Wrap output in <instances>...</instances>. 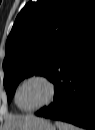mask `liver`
Segmentation results:
<instances>
[{
  "mask_svg": "<svg viewBox=\"0 0 95 130\" xmlns=\"http://www.w3.org/2000/svg\"><path fill=\"white\" fill-rule=\"evenodd\" d=\"M33 115L12 116L7 121V130H17L20 126L32 119Z\"/></svg>",
  "mask_w": 95,
  "mask_h": 130,
  "instance_id": "obj_1",
  "label": "liver"
}]
</instances>
